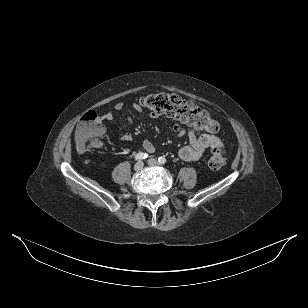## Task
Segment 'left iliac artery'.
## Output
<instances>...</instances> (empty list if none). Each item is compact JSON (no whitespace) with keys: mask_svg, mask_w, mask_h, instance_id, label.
Masks as SVG:
<instances>
[{"mask_svg":"<svg viewBox=\"0 0 308 308\" xmlns=\"http://www.w3.org/2000/svg\"><path fill=\"white\" fill-rule=\"evenodd\" d=\"M158 161H159L160 164H165L167 162L165 157H159Z\"/></svg>","mask_w":308,"mask_h":308,"instance_id":"44dca946","label":"left iliac artery"}]
</instances>
